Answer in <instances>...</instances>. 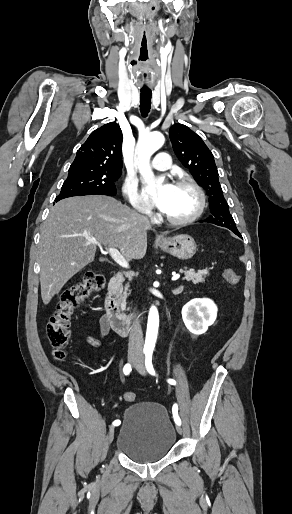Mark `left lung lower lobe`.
<instances>
[{
    "mask_svg": "<svg viewBox=\"0 0 292 514\" xmlns=\"http://www.w3.org/2000/svg\"><path fill=\"white\" fill-rule=\"evenodd\" d=\"M200 222H203V221H200ZM237 236H239L240 238H242L241 234L239 232H234Z\"/></svg>",
    "mask_w": 292,
    "mask_h": 514,
    "instance_id": "0a47b994",
    "label": "left lung lower lobe"
}]
</instances>
